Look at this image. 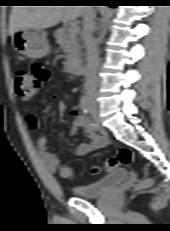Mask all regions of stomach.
I'll return each mask as SVG.
<instances>
[{"label": "stomach", "mask_w": 170, "mask_h": 231, "mask_svg": "<svg viewBox=\"0 0 170 231\" xmlns=\"http://www.w3.org/2000/svg\"><path fill=\"white\" fill-rule=\"evenodd\" d=\"M12 43L21 55L37 59L50 52L46 32L37 28H25L12 35Z\"/></svg>", "instance_id": "1"}]
</instances>
